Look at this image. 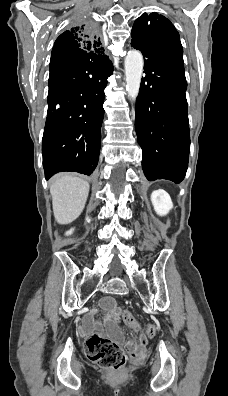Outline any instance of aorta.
Segmentation results:
<instances>
[{
    "label": "aorta",
    "mask_w": 228,
    "mask_h": 396,
    "mask_svg": "<svg viewBox=\"0 0 228 396\" xmlns=\"http://www.w3.org/2000/svg\"><path fill=\"white\" fill-rule=\"evenodd\" d=\"M142 72V54L137 50L129 51L125 58L126 91L128 97L133 101L139 94Z\"/></svg>",
    "instance_id": "1"
}]
</instances>
